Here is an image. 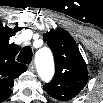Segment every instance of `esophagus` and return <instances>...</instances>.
<instances>
[{
  "label": "esophagus",
  "mask_w": 103,
  "mask_h": 103,
  "mask_svg": "<svg viewBox=\"0 0 103 103\" xmlns=\"http://www.w3.org/2000/svg\"><path fill=\"white\" fill-rule=\"evenodd\" d=\"M28 70L32 72L35 71V64L33 62L28 65Z\"/></svg>",
  "instance_id": "1"
}]
</instances>
